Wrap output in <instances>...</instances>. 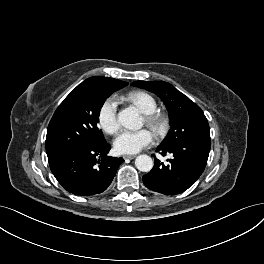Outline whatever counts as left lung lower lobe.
<instances>
[{"instance_id":"0a47b994","label":"left lung lower lobe","mask_w":264,"mask_h":264,"mask_svg":"<svg viewBox=\"0 0 264 264\" xmlns=\"http://www.w3.org/2000/svg\"><path fill=\"white\" fill-rule=\"evenodd\" d=\"M210 139L185 140L172 146H158L161 155L171 154L168 163L155 159L152 170L143 176L145 186L165 195H175L191 187L207 164Z\"/></svg>"}]
</instances>
